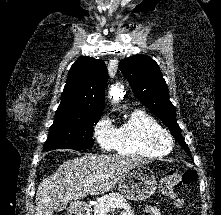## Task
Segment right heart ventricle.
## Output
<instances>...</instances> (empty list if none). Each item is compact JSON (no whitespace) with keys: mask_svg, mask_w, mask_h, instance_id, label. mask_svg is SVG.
<instances>
[{"mask_svg":"<svg viewBox=\"0 0 221 215\" xmlns=\"http://www.w3.org/2000/svg\"><path fill=\"white\" fill-rule=\"evenodd\" d=\"M161 125L152 115L141 109H135L116 128L114 150L121 155L157 158L165 155L153 149L148 136Z\"/></svg>","mask_w":221,"mask_h":215,"instance_id":"e07e8e85","label":"right heart ventricle"}]
</instances>
